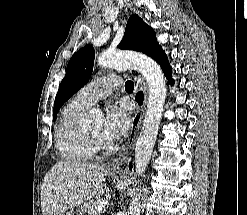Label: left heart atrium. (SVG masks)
<instances>
[{
    "mask_svg": "<svg viewBox=\"0 0 247 215\" xmlns=\"http://www.w3.org/2000/svg\"><path fill=\"white\" fill-rule=\"evenodd\" d=\"M129 128L127 107L124 103L111 104L106 110L103 134L108 139L122 137Z\"/></svg>",
    "mask_w": 247,
    "mask_h": 215,
    "instance_id": "1",
    "label": "left heart atrium"
}]
</instances>
